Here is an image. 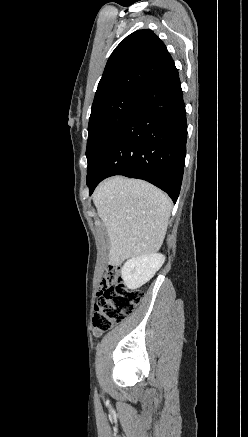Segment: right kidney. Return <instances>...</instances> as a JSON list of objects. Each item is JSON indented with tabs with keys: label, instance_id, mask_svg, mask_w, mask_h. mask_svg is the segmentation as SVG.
Returning <instances> with one entry per match:
<instances>
[{
	"label": "right kidney",
	"instance_id": "obj_1",
	"mask_svg": "<svg viewBox=\"0 0 248 437\" xmlns=\"http://www.w3.org/2000/svg\"><path fill=\"white\" fill-rule=\"evenodd\" d=\"M165 256L159 253L141 255L129 259L121 269V276L129 289H137L147 283L161 268Z\"/></svg>",
	"mask_w": 248,
	"mask_h": 437
}]
</instances>
